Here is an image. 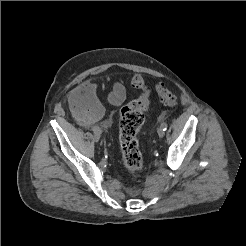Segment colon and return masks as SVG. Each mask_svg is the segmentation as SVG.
<instances>
[{
    "label": "colon",
    "mask_w": 246,
    "mask_h": 246,
    "mask_svg": "<svg viewBox=\"0 0 246 246\" xmlns=\"http://www.w3.org/2000/svg\"><path fill=\"white\" fill-rule=\"evenodd\" d=\"M132 86L141 90V95L124 106L120 112L119 141L123 163L131 173L139 172L143 167L142 154L139 150L137 134L145 121V112L150 106L151 88L148 87L140 74L132 78ZM159 99L166 105L173 107L177 104V97L163 84L155 86Z\"/></svg>",
    "instance_id": "colon-1"
}]
</instances>
